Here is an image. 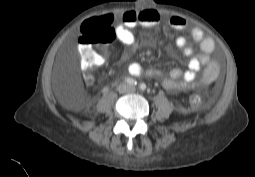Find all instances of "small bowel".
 <instances>
[{
  "instance_id": "c3829d8e",
  "label": "small bowel",
  "mask_w": 255,
  "mask_h": 177,
  "mask_svg": "<svg viewBox=\"0 0 255 177\" xmlns=\"http://www.w3.org/2000/svg\"><path fill=\"white\" fill-rule=\"evenodd\" d=\"M163 21V16L155 9L144 8L139 11L129 10L123 13L121 22L114 26L113 30L117 39L126 46L122 51L120 58L122 61L129 59L130 55L139 47L138 39L132 29L138 26L152 27L160 24ZM172 29L183 31L187 28V22L184 18L173 16L169 20ZM190 35L192 39L198 42L200 53L193 56V49L188 45L184 36H178L175 40V45L181 50L182 54L189 57L187 70L178 68L169 71L159 69H151L146 71L149 77L162 78V85L167 91H184L194 89L201 84L212 82L219 72V64L216 61H211L210 55L215 49V43L212 38L205 36L203 30L199 27H191ZM105 61L104 54H96V65H101ZM206 66L202 78H198L200 69ZM206 70L208 73L206 74ZM128 72L132 76H140L144 73L142 66L139 63L133 62L128 66Z\"/></svg>"
}]
</instances>
